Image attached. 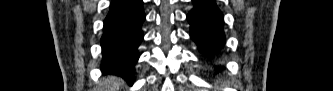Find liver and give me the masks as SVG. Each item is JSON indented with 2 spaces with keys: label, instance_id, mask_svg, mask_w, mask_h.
Returning a JSON list of instances; mask_svg holds the SVG:
<instances>
[{
  "label": "liver",
  "instance_id": "1",
  "mask_svg": "<svg viewBox=\"0 0 333 91\" xmlns=\"http://www.w3.org/2000/svg\"><path fill=\"white\" fill-rule=\"evenodd\" d=\"M122 84V80L116 77H108L101 82V89H107L106 91H117Z\"/></svg>",
  "mask_w": 333,
  "mask_h": 91
}]
</instances>
